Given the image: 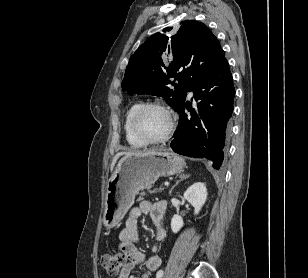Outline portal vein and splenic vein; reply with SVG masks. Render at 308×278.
<instances>
[{"mask_svg": "<svg viewBox=\"0 0 308 278\" xmlns=\"http://www.w3.org/2000/svg\"><path fill=\"white\" fill-rule=\"evenodd\" d=\"M165 186H169V182H165V184H164Z\"/></svg>", "mask_w": 308, "mask_h": 278, "instance_id": "1", "label": "portal vein and splenic vein"}]
</instances>
